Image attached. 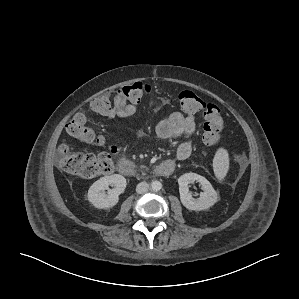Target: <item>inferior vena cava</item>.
Listing matches in <instances>:
<instances>
[{"label":"inferior vena cava","instance_id":"1","mask_svg":"<svg viewBox=\"0 0 299 299\" xmlns=\"http://www.w3.org/2000/svg\"><path fill=\"white\" fill-rule=\"evenodd\" d=\"M149 190V184L147 182H140L136 187L138 194L146 193Z\"/></svg>","mask_w":299,"mask_h":299}]
</instances>
